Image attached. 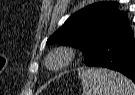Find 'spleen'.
<instances>
[{
    "mask_svg": "<svg viewBox=\"0 0 135 95\" xmlns=\"http://www.w3.org/2000/svg\"><path fill=\"white\" fill-rule=\"evenodd\" d=\"M82 95H135V84L120 73L104 68H80Z\"/></svg>",
    "mask_w": 135,
    "mask_h": 95,
    "instance_id": "obj_1",
    "label": "spleen"
}]
</instances>
